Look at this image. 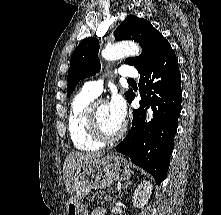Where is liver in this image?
<instances>
[{"instance_id":"liver-1","label":"liver","mask_w":221,"mask_h":215,"mask_svg":"<svg viewBox=\"0 0 221 215\" xmlns=\"http://www.w3.org/2000/svg\"><path fill=\"white\" fill-rule=\"evenodd\" d=\"M103 155L104 152H97V153L70 152L65 158L63 165V177H64V184L66 190L70 192L71 180L74 176L75 170L79 165L89 160L100 158Z\"/></svg>"}]
</instances>
